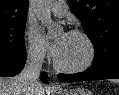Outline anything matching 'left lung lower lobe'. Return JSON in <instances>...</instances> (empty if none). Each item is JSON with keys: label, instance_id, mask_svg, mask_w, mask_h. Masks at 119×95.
Returning a JSON list of instances; mask_svg holds the SVG:
<instances>
[{"label": "left lung lower lobe", "instance_id": "obj_1", "mask_svg": "<svg viewBox=\"0 0 119 95\" xmlns=\"http://www.w3.org/2000/svg\"><path fill=\"white\" fill-rule=\"evenodd\" d=\"M58 78L64 82H81L99 79H119V58L104 69H96L92 66L81 73L59 74Z\"/></svg>", "mask_w": 119, "mask_h": 95}]
</instances>
